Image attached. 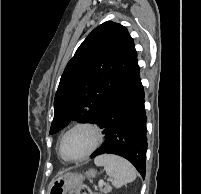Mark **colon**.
Returning a JSON list of instances; mask_svg holds the SVG:
<instances>
[{"label": "colon", "mask_w": 201, "mask_h": 194, "mask_svg": "<svg viewBox=\"0 0 201 194\" xmlns=\"http://www.w3.org/2000/svg\"><path fill=\"white\" fill-rule=\"evenodd\" d=\"M68 194H98L93 192L88 186L82 184L77 188L71 190Z\"/></svg>", "instance_id": "obj_1"}]
</instances>
